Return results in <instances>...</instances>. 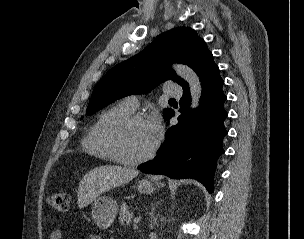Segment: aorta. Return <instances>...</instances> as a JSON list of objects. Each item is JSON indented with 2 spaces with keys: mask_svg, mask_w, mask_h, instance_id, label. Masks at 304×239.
Listing matches in <instances>:
<instances>
[{
  "mask_svg": "<svg viewBox=\"0 0 304 239\" xmlns=\"http://www.w3.org/2000/svg\"><path fill=\"white\" fill-rule=\"evenodd\" d=\"M176 73L188 82L191 93V108L194 109L199 105L202 93V86L195 72L186 65H174Z\"/></svg>",
  "mask_w": 304,
  "mask_h": 239,
  "instance_id": "aorta-1",
  "label": "aorta"
}]
</instances>
